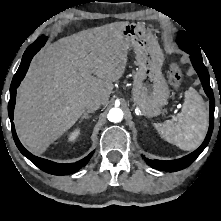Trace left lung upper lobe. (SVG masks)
Returning <instances> with one entry per match:
<instances>
[{
    "instance_id": "left-lung-upper-lobe-1",
    "label": "left lung upper lobe",
    "mask_w": 221,
    "mask_h": 221,
    "mask_svg": "<svg viewBox=\"0 0 221 221\" xmlns=\"http://www.w3.org/2000/svg\"><path fill=\"white\" fill-rule=\"evenodd\" d=\"M177 43L185 52L198 58H202L199 46L188 32L182 30L179 31Z\"/></svg>"
}]
</instances>
